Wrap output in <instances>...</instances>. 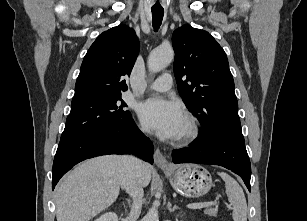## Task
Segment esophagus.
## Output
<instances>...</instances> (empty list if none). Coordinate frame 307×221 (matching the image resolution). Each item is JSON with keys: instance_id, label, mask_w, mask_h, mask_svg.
<instances>
[{"instance_id": "obj_1", "label": "esophagus", "mask_w": 307, "mask_h": 221, "mask_svg": "<svg viewBox=\"0 0 307 221\" xmlns=\"http://www.w3.org/2000/svg\"><path fill=\"white\" fill-rule=\"evenodd\" d=\"M154 162L160 168H169L171 166L159 149L154 152Z\"/></svg>"}]
</instances>
